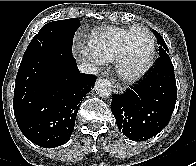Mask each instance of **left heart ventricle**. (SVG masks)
<instances>
[{"label":"left heart ventricle","mask_w":196,"mask_h":166,"mask_svg":"<svg viewBox=\"0 0 196 166\" xmlns=\"http://www.w3.org/2000/svg\"><path fill=\"white\" fill-rule=\"evenodd\" d=\"M130 52L127 58L126 67L134 70L140 67L147 59L150 51V39L145 32L135 33L130 41Z\"/></svg>","instance_id":"obj_1"}]
</instances>
